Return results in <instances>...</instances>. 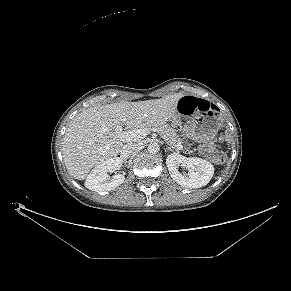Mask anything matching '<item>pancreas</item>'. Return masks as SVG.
<instances>
[{
	"instance_id": "cf45deb5",
	"label": "pancreas",
	"mask_w": 291,
	"mask_h": 291,
	"mask_svg": "<svg viewBox=\"0 0 291 291\" xmlns=\"http://www.w3.org/2000/svg\"><path fill=\"white\" fill-rule=\"evenodd\" d=\"M147 128L155 130L174 149H178V145L183 143L176 130L168 124L157 123L149 125Z\"/></svg>"
}]
</instances>
